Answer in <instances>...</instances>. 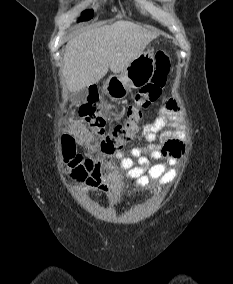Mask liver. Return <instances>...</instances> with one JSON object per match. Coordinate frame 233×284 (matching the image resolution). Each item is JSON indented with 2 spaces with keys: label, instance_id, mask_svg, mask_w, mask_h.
<instances>
[{
  "label": "liver",
  "instance_id": "obj_1",
  "mask_svg": "<svg viewBox=\"0 0 233 284\" xmlns=\"http://www.w3.org/2000/svg\"><path fill=\"white\" fill-rule=\"evenodd\" d=\"M158 36L130 21L94 26L70 39L66 45L62 74L71 93L98 83L110 69L118 74L143 53Z\"/></svg>",
  "mask_w": 233,
  "mask_h": 284
}]
</instances>
